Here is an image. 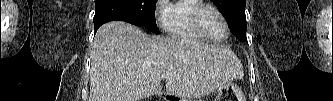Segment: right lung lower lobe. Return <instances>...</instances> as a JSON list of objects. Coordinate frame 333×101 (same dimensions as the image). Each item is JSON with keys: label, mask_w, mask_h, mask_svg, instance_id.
<instances>
[{"label": "right lung lower lobe", "mask_w": 333, "mask_h": 101, "mask_svg": "<svg viewBox=\"0 0 333 101\" xmlns=\"http://www.w3.org/2000/svg\"><path fill=\"white\" fill-rule=\"evenodd\" d=\"M125 21L136 25V20L132 12L120 0H100L95 6L94 29L110 21Z\"/></svg>", "instance_id": "98d812e1"}]
</instances>
